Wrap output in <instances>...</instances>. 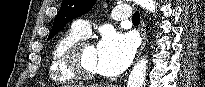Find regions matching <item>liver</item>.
Wrapping results in <instances>:
<instances>
[{"instance_id": "liver-1", "label": "liver", "mask_w": 205, "mask_h": 87, "mask_svg": "<svg viewBox=\"0 0 205 87\" xmlns=\"http://www.w3.org/2000/svg\"><path fill=\"white\" fill-rule=\"evenodd\" d=\"M67 87H83V86H81V85H78V86H72V85H70V86H67Z\"/></svg>"}]
</instances>
